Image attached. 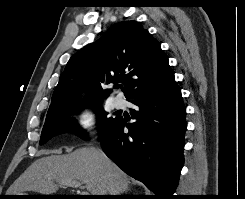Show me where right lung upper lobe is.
Segmentation results:
<instances>
[{
	"instance_id": "cb5924a9",
	"label": "right lung upper lobe",
	"mask_w": 245,
	"mask_h": 199,
	"mask_svg": "<svg viewBox=\"0 0 245 199\" xmlns=\"http://www.w3.org/2000/svg\"><path fill=\"white\" fill-rule=\"evenodd\" d=\"M174 80L159 42L139 22L123 21L70 58L54 90L47 116L66 106L83 104L74 100L81 89L89 92L86 101L93 104L112 91H104L103 83H123L125 96L131 100L159 91Z\"/></svg>"
}]
</instances>
